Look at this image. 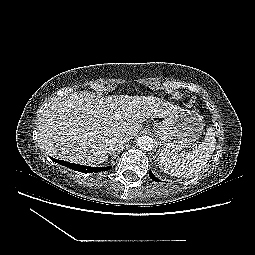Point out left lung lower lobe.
<instances>
[{"instance_id": "obj_1", "label": "left lung lower lobe", "mask_w": 255, "mask_h": 255, "mask_svg": "<svg viewBox=\"0 0 255 255\" xmlns=\"http://www.w3.org/2000/svg\"><path fill=\"white\" fill-rule=\"evenodd\" d=\"M149 176H150V178H151L153 181H157V182L160 181L159 179H157V178L153 175V173H152L151 171L149 172Z\"/></svg>"}]
</instances>
